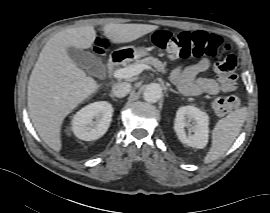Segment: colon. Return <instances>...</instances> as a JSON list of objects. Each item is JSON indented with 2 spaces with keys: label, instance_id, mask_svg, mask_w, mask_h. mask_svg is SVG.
I'll return each instance as SVG.
<instances>
[{
  "label": "colon",
  "instance_id": "colon-1",
  "mask_svg": "<svg viewBox=\"0 0 270 213\" xmlns=\"http://www.w3.org/2000/svg\"><path fill=\"white\" fill-rule=\"evenodd\" d=\"M153 44L176 58L218 59L214 70L220 75L226 94L214 99L212 107L217 115H222L239 105L236 59L229 53L230 47L224 43L222 37L204 31L172 33L158 30L153 35Z\"/></svg>",
  "mask_w": 270,
  "mask_h": 213
}]
</instances>
